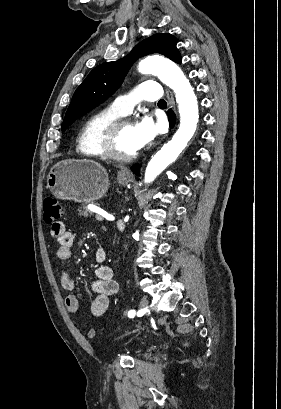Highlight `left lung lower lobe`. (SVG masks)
I'll list each match as a JSON object with an SVG mask.
<instances>
[{
  "mask_svg": "<svg viewBox=\"0 0 281 409\" xmlns=\"http://www.w3.org/2000/svg\"><path fill=\"white\" fill-rule=\"evenodd\" d=\"M168 117H169V121H170V127H173L174 124H175V114L173 113L172 110L168 111ZM132 171L135 174L139 175V166L138 165L133 166Z\"/></svg>",
  "mask_w": 281,
  "mask_h": 409,
  "instance_id": "left-lung-lower-lobe-1",
  "label": "left lung lower lobe"
}]
</instances>
